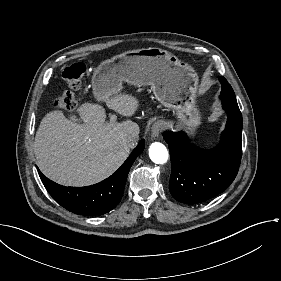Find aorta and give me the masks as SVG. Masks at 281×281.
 Returning <instances> with one entry per match:
<instances>
[{
    "label": "aorta",
    "mask_w": 281,
    "mask_h": 281,
    "mask_svg": "<svg viewBox=\"0 0 281 281\" xmlns=\"http://www.w3.org/2000/svg\"><path fill=\"white\" fill-rule=\"evenodd\" d=\"M149 157L156 164H164L167 162L169 154L162 143L154 142L149 147Z\"/></svg>",
    "instance_id": "obj_1"
}]
</instances>
